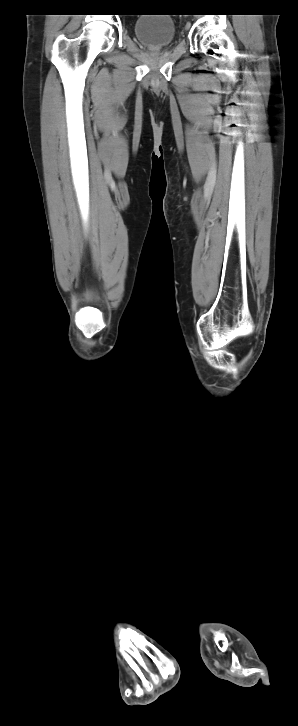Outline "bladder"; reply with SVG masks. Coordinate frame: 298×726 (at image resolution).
Returning a JSON list of instances; mask_svg holds the SVG:
<instances>
[{"label":"bladder","mask_w":298,"mask_h":726,"mask_svg":"<svg viewBox=\"0 0 298 726\" xmlns=\"http://www.w3.org/2000/svg\"><path fill=\"white\" fill-rule=\"evenodd\" d=\"M136 38L151 49L170 45L176 36L174 21L165 14H142L133 24Z\"/></svg>","instance_id":"bladder-1"}]
</instances>
